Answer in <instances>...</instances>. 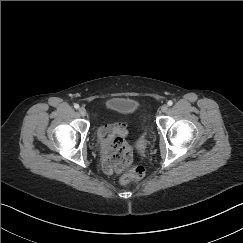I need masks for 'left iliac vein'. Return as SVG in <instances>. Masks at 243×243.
Listing matches in <instances>:
<instances>
[{"mask_svg": "<svg viewBox=\"0 0 243 243\" xmlns=\"http://www.w3.org/2000/svg\"><path fill=\"white\" fill-rule=\"evenodd\" d=\"M168 110V106L166 104L161 106V111L166 112Z\"/></svg>", "mask_w": 243, "mask_h": 243, "instance_id": "4c4485c4", "label": "left iliac vein"}]
</instances>
